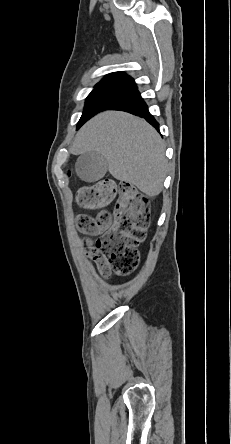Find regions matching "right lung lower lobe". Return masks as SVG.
I'll return each mask as SVG.
<instances>
[{"label":"right lung lower lobe","instance_id":"obj_1","mask_svg":"<svg viewBox=\"0 0 231 444\" xmlns=\"http://www.w3.org/2000/svg\"><path fill=\"white\" fill-rule=\"evenodd\" d=\"M108 110H122L134 114L136 116L143 117L152 126L158 129L159 124L155 118L149 113L148 107L144 100L142 99L138 90H135L125 97L120 99L113 106L109 107Z\"/></svg>","mask_w":231,"mask_h":444}]
</instances>
